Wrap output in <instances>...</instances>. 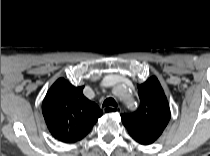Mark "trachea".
I'll list each match as a JSON object with an SVG mask.
<instances>
[{"label":"trachea","instance_id":"obj_1","mask_svg":"<svg viewBox=\"0 0 210 156\" xmlns=\"http://www.w3.org/2000/svg\"><path fill=\"white\" fill-rule=\"evenodd\" d=\"M103 107H106V106H114V107H117V103L115 101V99L113 98H107L104 102H103Z\"/></svg>","mask_w":210,"mask_h":156}]
</instances>
